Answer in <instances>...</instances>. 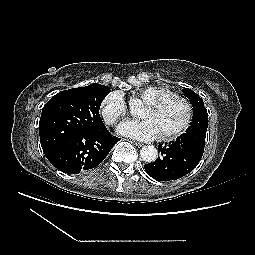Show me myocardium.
Returning a JSON list of instances; mask_svg holds the SVG:
<instances>
[{"instance_id":"myocardium-1","label":"myocardium","mask_w":255,"mask_h":255,"mask_svg":"<svg viewBox=\"0 0 255 255\" xmlns=\"http://www.w3.org/2000/svg\"><path fill=\"white\" fill-rule=\"evenodd\" d=\"M169 103H177L181 105L185 110V118L180 126L167 133L162 134L160 136V140L162 141L173 140L184 134L190 128L194 117V109L192 104L186 98L182 97L179 94L171 93L170 95L149 102L148 105H151L155 108H160Z\"/></svg>"}]
</instances>
